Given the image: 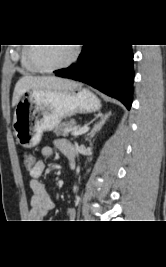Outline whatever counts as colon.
Wrapping results in <instances>:
<instances>
[{
    "label": "colon",
    "instance_id": "1",
    "mask_svg": "<svg viewBox=\"0 0 166 267\" xmlns=\"http://www.w3.org/2000/svg\"><path fill=\"white\" fill-rule=\"evenodd\" d=\"M23 161H24V165L27 169H31L36 162L35 156L31 153H24L23 154Z\"/></svg>",
    "mask_w": 166,
    "mask_h": 267
}]
</instances>
